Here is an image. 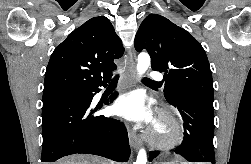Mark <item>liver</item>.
<instances>
[{
    "instance_id": "6515ba94",
    "label": "liver",
    "mask_w": 251,
    "mask_h": 164,
    "mask_svg": "<svg viewBox=\"0 0 251 164\" xmlns=\"http://www.w3.org/2000/svg\"><path fill=\"white\" fill-rule=\"evenodd\" d=\"M55 164H113L108 163L103 158L93 155H72L65 157Z\"/></svg>"
}]
</instances>
